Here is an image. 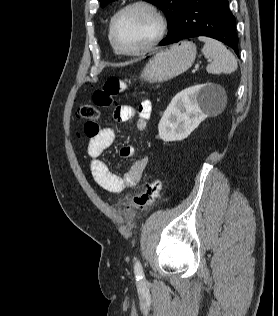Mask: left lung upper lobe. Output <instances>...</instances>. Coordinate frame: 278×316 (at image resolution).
Instances as JSON below:
<instances>
[{
	"label": "left lung upper lobe",
	"mask_w": 278,
	"mask_h": 316,
	"mask_svg": "<svg viewBox=\"0 0 278 316\" xmlns=\"http://www.w3.org/2000/svg\"><path fill=\"white\" fill-rule=\"evenodd\" d=\"M99 1L101 3V7H104L109 2L114 1V0H99ZM146 1L154 4L165 13L167 22L169 24L168 35L171 34V32L176 26L178 17L180 15V12L186 0H146Z\"/></svg>",
	"instance_id": "1"
}]
</instances>
